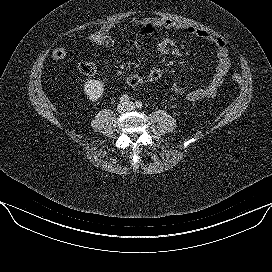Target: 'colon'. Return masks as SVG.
Returning <instances> with one entry per match:
<instances>
[{
    "label": "colon",
    "instance_id": "5ec220e1",
    "mask_svg": "<svg viewBox=\"0 0 272 272\" xmlns=\"http://www.w3.org/2000/svg\"><path fill=\"white\" fill-rule=\"evenodd\" d=\"M151 25H147V29H151ZM81 44L88 47H105L113 48L115 40L111 33L102 29L87 33L81 38ZM69 51L64 46H58L52 51V57L55 60H63L67 57ZM97 70V66L93 62H81L77 66L78 73L83 77H92ZM164 77V71L159 67H154L139 73H133L125 77L124 83L129 87L143 86L161 80ZM233 81L241 83L242 78L239 74L233 75Z\"/></svg>",
    "mask_w": 272,
    "mask_h": 272
}]
</instances>
